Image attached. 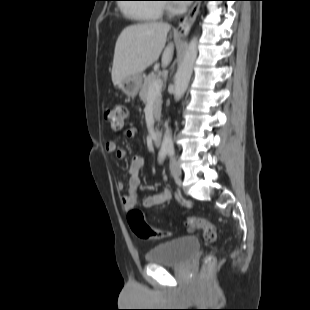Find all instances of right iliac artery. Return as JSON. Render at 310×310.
<instances>
[{
	"instance_id": "82829eb1",
	"label": "right iliac artery",
	"mask_w": 310,
	"mask_h": 310,
	"mask_svg": "<svg viewBox=\"0 0 310 310\" xmlns=\"http://www.w3.org/2000/svg\"><path fill=\"white\" fill-rule=\"evenodd\" d=\"M166 154H167V150L166 149H161L160 150V152H159L160 162L164 160V158L166 157Z\"/></svg>"
}]
</instances>
